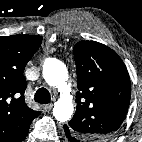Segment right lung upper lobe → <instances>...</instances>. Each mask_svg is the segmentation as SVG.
<instances>
[{"instance_id":"obj_1","label":"right lung upper lobe","mask_w":142,"mask_h":142,"mask_svg":"<svg viewBox=\"0 0 142 142\" xmlns=\"http://www.w3.org/2000/svg\"><path fill=\"white\" fill-rule=\"evenodd\" d=\"M41 42L37 35L0 36V142H22L41 113L25 103L23 76Z\"/></svg>"}]
</instances>
